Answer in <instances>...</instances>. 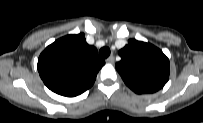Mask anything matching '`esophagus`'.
Instances as JSON below:
<instances>
[{"label":"esophagus","instance_id":"34e87169","mask_svg":"<svg viewBox=\"0 0 203 123\" xmlns=\"http://www.w3.org/2000/svg\"><path fill=\"white\" fill-rule=\"evenodd\" d=\"M106 62H107V63H110V64L114 63V57H113V56L108 57V58L106 59Z\"/></svg>","mask_w":203,"mask_h":123}]
</instances>
